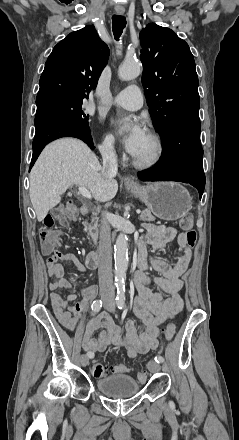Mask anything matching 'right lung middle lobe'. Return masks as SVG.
I'll return each instance as SVG.
<instances>
[{
    "label": "right lung middle lobe",
    "instance_id": "dd1d6c3e",
    "mask_svg": "<svg viewBox=\"0 0 239 440\" xmlns=\"http://www.w3.org/2000/svg\"><path fill=\"white\" fill-rule=\"evenodd\" d=\"M82 97L53 96L36 102L37 112L35 117L45 114H57L72 121L89 126L88 117L82 110Z\"/></svg>",
    "mask_w": 239,
    "mask_h": 440
}]
</instances>
